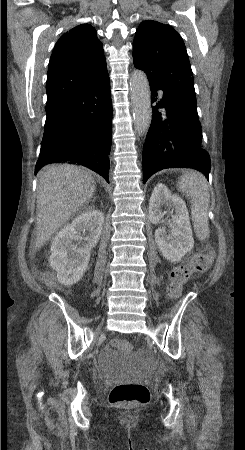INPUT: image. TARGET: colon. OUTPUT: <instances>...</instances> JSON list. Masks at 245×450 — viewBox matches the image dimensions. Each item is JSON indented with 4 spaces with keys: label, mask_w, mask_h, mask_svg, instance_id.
<instances>
[{
    "label": "colon",
    "mask_w": 245,
    "mask_h": 450,
    "mask_svg": "<svg viewBox=\"0 0 245 450\" xmlns=\"http://www.w3.org/2000/svg\"><path fill=\"white\" fill-rule=\"evenodd\" d=\"M213 256V250L210 247H204L189 262L176 266L170 273L169 296L172 299L179 298L182 294L183 284L194 274L206 270L211 265ZM115 344L124 354L132 352V345L126 340H117ZM149 400V389L137 383L116 385L109 394V401L113 404L142 405Z\"/></svg>",
    "instance_id": "obj_1"
}]
</instances>
